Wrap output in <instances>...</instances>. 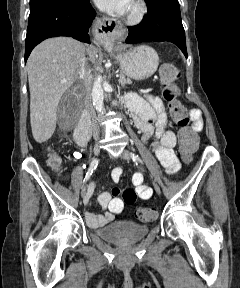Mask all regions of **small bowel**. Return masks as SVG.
Returning <instances> with one entry per match:
<instances>
[{"mask_svg": "<svg viewBox=\"0 0 240 288\" xmlns=\"http://www.w3.org/2000/svg\"><path fill=\"white\" fill-rule=\"evenodd\" d=\"M124 102L132 113L135 126L142 133L143 142L147 143L152 137H155L156 140L151 144L155 156L168 174L176 173L180 169V162L174 153L176 135L168 128L166 108L161 98L153 95L142 97L135 93H128L124 98ZM189 116L192 121V130L195 133L200 132L203 128L201 112L197 109H192L189 112ZM122 173V168H114L111 173L112 180L118 182ZM132 183L135 187V192L141 199L147 200L151 197L152 190L144 183L141 173L133 175ZM93 190L94 185L88 191V198ZM119 194L120 190L114 188L111 193L103 192L99 195L98 201L105 213L100 215L87 212L85 218L91 227L96 228L112 221L114 215L123 210L124 204Z\"/></svg>", "mask_w": 240, "mask_h": 288, "instance_id": "c3829d8e", "label": "small bowel"}]
</instances>
